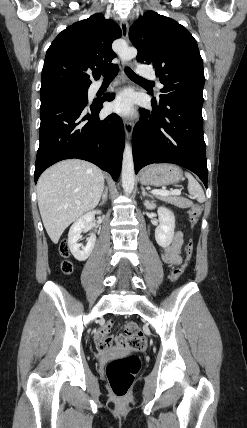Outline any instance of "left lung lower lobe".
Returning <instances> with one entry per match:
<instances>
[{"instance_id": "obj_1", "label": "left lung lower lobe", "mask_w": 247, "mask_h": 428, "mask_svg": "<svg viewBox=\"0 0 247 428\" xmlns=\"http://www.w3.org/2000/svg\"><path fill=\"white\" fill-rule=\"evenodd\" d=\"M203 101L183 95L152 100L153 111L141 108L133 130L135 172L152 163H174L194 172L207 187L203 137Z\"/></svg>"}]
</instances>
